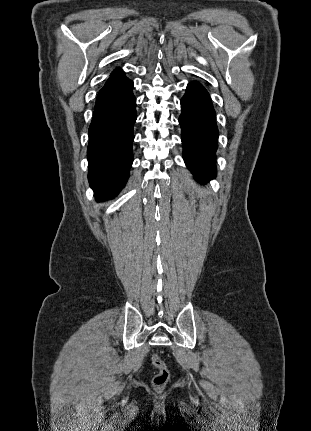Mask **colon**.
I'll list each match as a JSON object with an SVG mask.
<instances>
[{"label":"colon","instance_id":"1","mask_svg":"<svg viewBox=\"0 0 311 431\" xmlns=\"http://www.w3.org/2000/svg\"><path fill=\"white\" fill-rule=\"evenodd\" d=\"M151 360L153 366L157 369V373L153 378V385L157 389H162L165 387L169 380V369L166 366V363L161 359L158 354H153Z\"/></svg>","mask_w":311,"mask_h":431}]
</instances>
